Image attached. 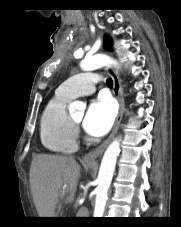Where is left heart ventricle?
Masks as SVG:
<instances>
[{"instance_id":"obj_1","label":"left heart ventricle","mask_w":181,"mask_h":227,"mask_svg":"<svg viewBox=\"0 0 181 227\" xmlns=\"http://www.w3.org/2000/svg\"><path fill=\"white\" fill-rule=\"evenodd\" d=\"M82 117H83V114L80 113V114L73 116V119L79 123L82 120Z\"/></svg>"}]
</instances>
